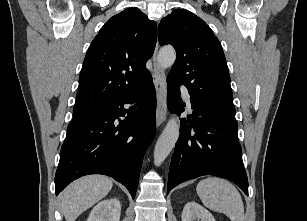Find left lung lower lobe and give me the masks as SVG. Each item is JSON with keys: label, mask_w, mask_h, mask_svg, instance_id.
<instances>
[{"label": "left lung lower lobe", "mask_w": 307, "mask_h": 221, "mask_svg": "<svg viewBox=\"0 0 307 221\" xmlns=\"http://www.w3.org/2000/svg\"><path fill=\"white\" fill-rule=\"evenodd\" d=\"M167 104L180 114L179 83L167 77ZM192 120H181V132L172 156L167 193L178 184L202 175L228 179L248 194V180L238 141L237 122L192 99ZM183 106H185L182 103Z\"/></svg>", "instance_id": "0a47b994"}]
</instances>
